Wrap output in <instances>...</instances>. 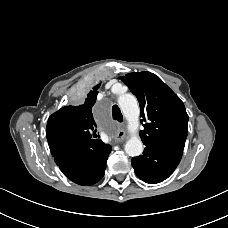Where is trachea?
<instances>
[{"mask_svg": "<svg viewBox=\"0 0 228 228\" xmlns=\"http://www.w3.org/2000/svg\"><path fill=\"white\" fill-rule=\"evenodd\" d=\"M112 116H113V119L117 120L118 122L123 121V116H122V113L120 111V108L116 104L113 105V107H112Z\"/></svg>", "mask_w": 228, "mask_h": 228, "instance_id": "obj_1", "label": "trachea"}]
</instances>
